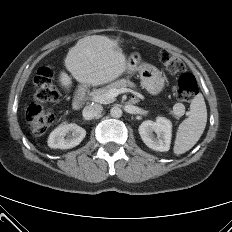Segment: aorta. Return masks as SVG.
Masks as SVG:
<instances>
[{
  "label": "aorta",
  "instance_id": "obj_1",
  "mask_svg": "<svg viewBox=\"0 0 232 232\" xmlns=\"http://www.w3.org/2000/svg\"><path fill=\"white\" fill-rule=\"evenodd\" d=\"M110 114L114 118H120L122 116V110L119 107L114 106L111 108Z\"/></svg>",
  "mask_w": 232,
  "mask_h": 232
}]
</instances>
